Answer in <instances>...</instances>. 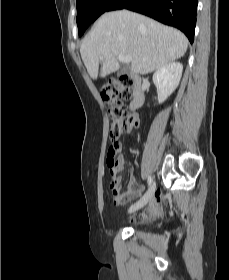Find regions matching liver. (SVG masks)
Returning <instances> with one entry per match:
<instances>
[{"instance_id":"1","label":"liver","mask_w":229,"mask_h":280,"mask_svg":"<svg viewBox=\"0 0 229 280\" xmlns=\"http://www.w3.org/2000/svg\"><path fill=\"white\" fill-rule=\"evenodd\" d=\"M188 47L177 29L127 10L103 14L84 38L80 53L88 74L96 80L120 69L117 56H131V70L145 75L182 57Z\"/></svg>"}]
</instances>
